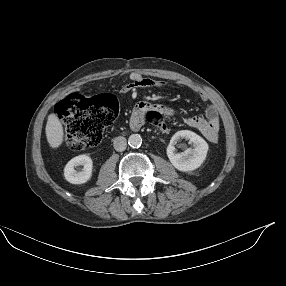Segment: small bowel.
Listing matches in <instances>:
<instances>
[{"mask_svg": "<svg viewBox=\"0 0 286 286\" xmlns=\"http://www.w3.org/2000/svg\"><path fill=\"white\" fill-rule=\"evenodd\" d=\"M131 82L122 87L123 93H133L139 88H155L161 89L166 87L167 83L162 80L150 79L144 77L138 73H132L130 75ZM200 99L204 102H210V96L203 90H196ZM137 108L141 112L144 110L159 109L163 115L172 113V110L165 106L157 105L156 103L138 102ZM187 125L197 131H199L209 142L215 143L219 138L220 119L216 106L212 103L206 108L205 117L201 116H189L185 118ZM163 133L169 132V127H158Z\"/></svg>", "mask_w": 286, "mask_h": 286, "instance_id": "1", "label": "small bowel"}]
</instances>
